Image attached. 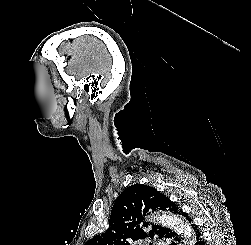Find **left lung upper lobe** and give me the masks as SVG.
I'll list each match as a JSON object with an SVG mask.
<instances>
[{
	"instance_id": "1",
	"label": "left lung upper lobe",
	"mask_w": 251,
	"mask_h": 245,
	"mask_svg": "<svg viewBox=\"0 0 251 245\" xmlns=\"http://www.w3.org/2000/svg\"><path fill=\"white\" fill-rule=\"evenodd\" d=\"M156 209L178 215L182 211L177 204L153 187L141 184L127 187L112 207L109 228L85 245H130L131 241L153 238L154 235H158L160 239L167 238L173 232L159 225H152L148 233L144 231L149 225L147 222L142 223L144 215L149 210Z\"/></svg>"
}]
</instances>
